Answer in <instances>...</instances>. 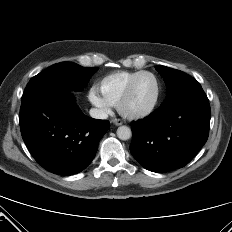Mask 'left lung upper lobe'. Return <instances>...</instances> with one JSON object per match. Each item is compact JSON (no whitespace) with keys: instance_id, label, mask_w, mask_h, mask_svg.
<instances>
[{"instance_id":"left-lung-upper-lobe-1","label":"left lung upper lobe","mask_w":232,"mask_h":232,"mask_svg":"<svg viewBox=\"0 0 232 232\" xmlns=\"http://www.w3.org/2000/svg\"><path fill=\"white\" fill-rule=\"evenodd\" d=\"M167 86V95L163 104L189 90L201 87L199 82L188 74L165 66H158Z\"/></svg>"}]
</instances>
